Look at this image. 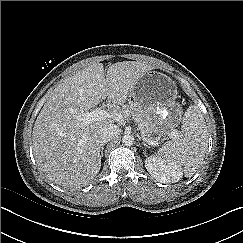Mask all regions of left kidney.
<instances>
[{"label": "left kidney", "instance_id": "5707ae66", "mask_svg": "<svg viewBox=\"0 0 243 243\" xmlns=\"http://www.w3.org/2000/svg\"><path fill=\"white\" fill-rule=\"evenodd\" d=\"M145 167L152 177L162 183H175L182 178L181 166L173 161L165 162L156 156L145 160Z\"/></svg>", "mask_w": 243, "mask_h": 243}]
</instances>
